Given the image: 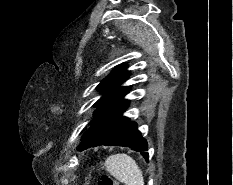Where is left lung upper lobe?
<instances>
[{"label":"left lung upper lobe","mask_w":233,"mask_h":185,"mask_svg":"<svg viewBox=\"0 0 233 185\" xmlns=\"http://www.w3.org/2000/svg\"><path fill=\"white\" fill-rule=\"evenodd\" d=\"M128 77L129 71H126V67L121 65L98 85L97 88L104 95L94 105L98 109L95 111V117L92 120L93 125L103 116L109 106L130 88V86L120 87Z\"/></svg>","instance_id":"1"}]
</instances>
